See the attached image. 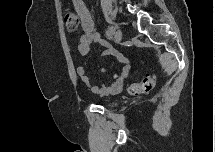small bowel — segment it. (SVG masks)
Masks as SVG:
<instances>
[{"label":"small bowel","mask_w":215,"mask_h":152,"mask_svg":"<svg viewBox=\"0 0 215 152\" xmlns=\"http://www.w3.org/2000/svg\"><path fill=\"white\" fill-rule=\"evenodd\" d=\"M73 6L84 31V34L81 35L79 38V43L77 46V51L79 55L86 56L90 52L91 47L93 45L99 44L106 48V53L116 56L120 62L126 65L125 74H128L132 64L131 58L118 52L113 47H111L108 42L102 39L101 34L99 30L95 27L91 14L88 11L83 0H73ZM77 74L81 82L91 92L100 96L117 94L122 90L123 87L122 81H117L111 85H103L101 87L95 86L90 82L83 67L77 68Z\"/></svg>","instance_id":"obj_1"}]
</instances>
